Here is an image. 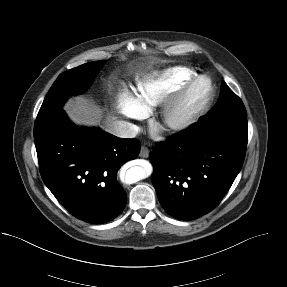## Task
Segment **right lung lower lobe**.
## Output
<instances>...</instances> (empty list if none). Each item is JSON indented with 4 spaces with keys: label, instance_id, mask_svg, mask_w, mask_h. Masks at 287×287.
Listing matches in <instances>:
<instances>
[{
    "label": "right lung lower lobe",
    "instance_id": "1",
    "mask_svg": "<svg viewBox=\"0 0 287 287\" xmlns=\"http://www.w3.org/2000/svg\"><path fill=\"white\" fill-rule=\"evenodd\" d=\"M34 140L45 185L72 215L102 224L123 211L127 195L117 171L138 156V140L78 127L62 109L36 119Z\"/></svg>",
    "mask_w": 287,
    "mask_h": 287
}]
</instances>
